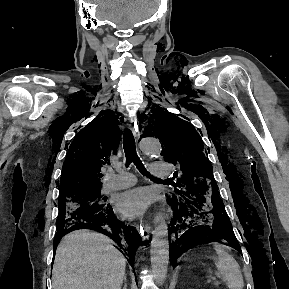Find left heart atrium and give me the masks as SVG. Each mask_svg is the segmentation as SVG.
<instances>
[{
    "label": "left heart atrium",
    "mask_w": 289,
    "mask_h": 289,
    "mask_svg": "<svg viewBox=\"0 0 289 289\" xmlns=\"http://www.w3.org/2000/svg\"><path fill=\"white\" fill-rule=\"evenodd\" d=\"M153 194L146 188H135L119 194L115 200L116 210L127 218L141 216L152 204Z\"/></svg>",
    "instance_id": "1"
}]
</instances>
